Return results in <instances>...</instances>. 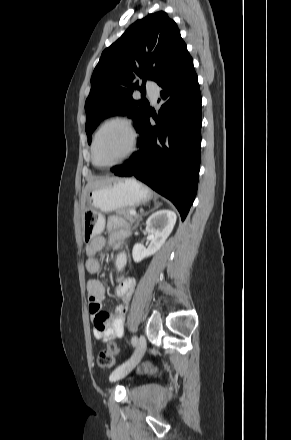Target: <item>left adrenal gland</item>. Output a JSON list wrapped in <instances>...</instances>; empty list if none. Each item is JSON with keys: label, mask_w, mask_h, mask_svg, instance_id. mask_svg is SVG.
I'll use <instances>...</instances> for the list:
<instances>
[{"label": "left adrenal gland", "mask_w": 291, "mask_h": 440, "mask_svg": "<svg viewBox=\"0 0 291 440\" xmlns=\"http://www.w3.org/2000/svg\"><path fill=\"white\" fill-rule=\"evenodd\" d=\"M145 214H147V213L139 215L138 220H137V222L135 224V227H137L139 225V222L142 220V216L145 215Z\"/></svg>", "instance_id": "a2214340"}]
</instances>
